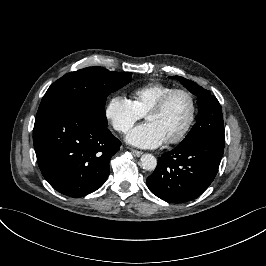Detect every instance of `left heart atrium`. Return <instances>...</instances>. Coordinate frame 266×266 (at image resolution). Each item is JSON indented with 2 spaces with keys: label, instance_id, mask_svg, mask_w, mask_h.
<instances>
[{
  "label": "left heart atrium",
  "instance_id": "obj_1",
  "mask_svg": "<svg viewBox=\"0 0 266 266\" xmlns=\"http://www.w3.org/2000/svg\"><path fill=\"white\" fill-rule=\"evenodd\" d=\"M128 142L144 147H157L165 141L161 131L150 122L135 127L127 136Z\"/></svg>",
  "mask_w": 266,
  "mask_h": 266
}]
</instances>
